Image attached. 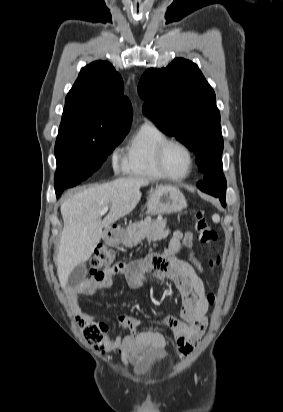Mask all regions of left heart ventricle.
Listing matches in <instances>:
<instances>
[{"instance_id": "left-heart-ventricle-1", "label": "left heart ventricle", "mask_w": 283, "mask_h": 412, "mask_svg": "<svg viewBox=\"0 0 283 412\" xmlns=\"http://www.w3.org/2000/svg\"><path fill=\"white\" fill-rule=\"evenodd\" d=\"M164 164L171 174L182 175L188 170L189 158L183 148L173 145L165 154Z\"/></svg>"}]
</instances>
